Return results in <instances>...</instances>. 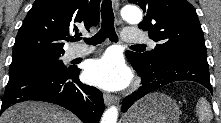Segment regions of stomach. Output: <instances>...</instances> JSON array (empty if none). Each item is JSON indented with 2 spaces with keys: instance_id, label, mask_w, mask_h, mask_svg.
<instances>
[{
  "instance_id": "stomach-1",
  "label": "stomach",
  "mask_w": 221,
  "mask_h": 123,
  "mask_svg": "<svg viewBox=\"0 0 221 123\" xmlns=\"http://www.w3.org/2000/svg\"><path fill=\"white\" fill-rule=\"evenodd\" d=\"M181 111L169 96L154 92L129 109L123 123H179Z\"/></svg>"
}]
</instances>
